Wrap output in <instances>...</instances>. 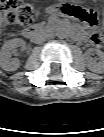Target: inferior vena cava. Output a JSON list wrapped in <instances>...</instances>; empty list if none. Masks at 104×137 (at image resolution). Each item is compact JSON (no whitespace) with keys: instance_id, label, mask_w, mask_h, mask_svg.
Masks as SVG:
<instances>
[{"instance_id":"1","label":"inferior vena cava","mask_w":104,"mask_h":137,"mask_svg":"<svg viewBox=\"0 0 104 137\" xmlns=\"http://www.w3.org/2000/svg\"><path fill=\"white\" fill-rule=\"evenodd\" d=\"M45 39V36L42 33L36 34L34 41L36 43H41Z\"/></svg>"}]
</instances>
